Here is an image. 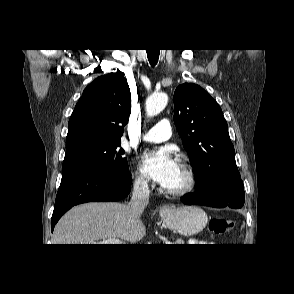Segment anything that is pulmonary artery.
<instances>
[{
	"mask_svg": "<svg viewBox=\"0 0 294 294\" xmlns=\"http://www.w3.org/2000/svg\"><path fill=\"white\" fill-rule=\"evenodd\" d=\"M171 126L167 119L158 122L148 132H146L142 139L147 142H163L171 137Z\"/></svg>",
	"mask_w": 294,
	"mask_h": 294,
	"instance_id": "obj_1",
	"label": "pulmonary artery"
}]
</instances>
